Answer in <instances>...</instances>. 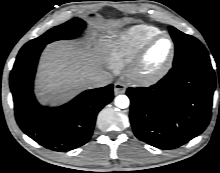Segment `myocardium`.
Masks as SVG:
<instances>
[{
	"instance_id": "myocardium-1",
	"label": "myocardium",
	"mask_w": 220,
	"mask_h": 173,
	"mask_svg": "<svg viewBox=\"0 0 220 173\" xmlns=\"http://www.w3.org/2000/svg\"><path fill=\"white\" fill-rule=\"evenodd\" d=\"M161 38H166L169 41L170 48L168 57L159 69L153 72H147L144 69L146 54L151 46ZM175 52L176 47L174 40L168 33L160 32L159 34L151 37L140 47L132 63L129 65L127 70L128 79L139 86H150L157 83L170 71L174 62Z\"/></svg>"
}]
</instances>
